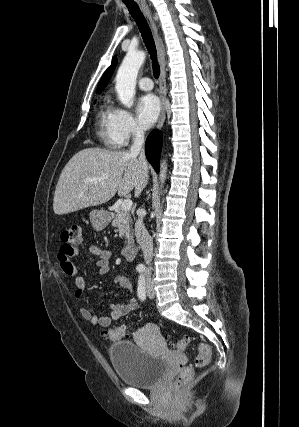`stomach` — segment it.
<instances>
[{"label":"stomach","instance_id":"stomach-1","mask_svg":"<svg viewBox=\"0 0 299 427\" xmlns=\"http://www.w3.org/2000/svg\"><path fill=\"white\" fill-rule=\"evenodd\" d=\"M90 221L96 230H102L109 224V215L104 210H92Z\"/></svg>","mask_w":299,"mask_h":427}]
</instances>
